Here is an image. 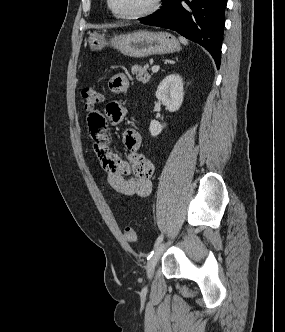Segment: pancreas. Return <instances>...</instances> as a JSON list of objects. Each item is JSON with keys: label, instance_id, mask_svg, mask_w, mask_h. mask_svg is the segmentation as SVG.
Returning <instances> with one entry per match:
<instances>
[{"label": "pancreas", "instance_id": "cf45deb5", "mask_svg": "<svg viewBox=\"0 0 285 332\" xmlns=\"http://www.w3.org/2000/svg\"><path fill=\"white\" fill-rule=\"evenodd\" d=\"M149 65L144 66L134 65L131 72L136 76V79L142 83H147L151 79V75L148 74L147 69Z\"/></svg>", "mask_w": 285, "mask_h": 332}]
</instances>
